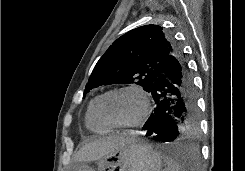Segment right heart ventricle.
Returning a JSON list of instances; mask_svg holds the SVG:
<instances>
[{
  "label": "right heart ventricle",
  "mask_w": 245,
  "mask_h": 171,
  "mask_svg": "<svg viewBox=\"0 0 245 171\" xmlns=\"http://www.w3.org/2000/svg\"><path fill=\"white\" fill-rule=\"evenodd\" d=\"M99 97L96 96L89 102L85 115V125L91 132L103 134L109 132L111 128L105 125L97 115Z\"/></svg>",
  "instance_id": "obj_1"
}]
</instances>
